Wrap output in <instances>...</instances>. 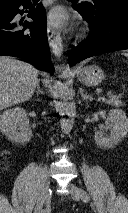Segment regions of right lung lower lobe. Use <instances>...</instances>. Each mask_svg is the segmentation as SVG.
I'll use <instances>...</instances> for the list:
<instances>
[{
  "mask_svg": "<svg viewBox=\"0 0 128 213\" xmlns=\"http://www.w3.org/2000/svg\"><path fill=\"white\" fill-rule=\"evenodd\" d=\"M27 8L30 0H22L9 7L0 8V56L22 58L36 66L37 69L54 72L49 55L45 9L38 4L31 8L28 17L35 23L16 22L14 17L23 12L20 6ZM20 25L24 28L21 29Z\"/></svg>",
  "mask_w": 128,
  "mask_h": 213,
  "instance_id": "98d812e1",
  "label": "right lung lower lobe"
}]
</instances>
